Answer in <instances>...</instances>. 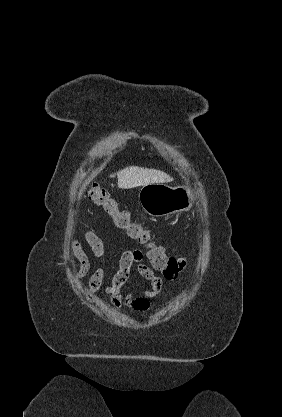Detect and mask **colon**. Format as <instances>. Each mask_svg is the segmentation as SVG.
<instances>
[{"mask_svg": "<svg viewBox=\"0 0 282 417\" xmlns=\"http://www.w3.org/2000/svg\"><path fill=\"white\" fill-rule=\"evenodd\" d=\"M89 196L111 217L117 228L124 230L131 239L149 249L150 265L166 279H174L184 271L188 259L167 255L164 248L153 241L150 230L132 220L130 214L119 207L106 187L93 183L89 189Z\"/></svg>", "mask_w": 282, "mask_h": 417, "instance_id": "obj_1", "label": "colon"}]
</instances>
